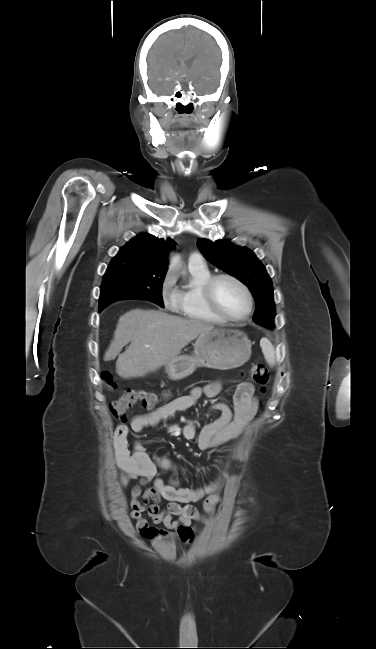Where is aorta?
I'll return each mask as SVG.
<instances>
[{"label": "aorta", "mask_w": 376, "mask_h": 649, "mask_svg": "<svg viewBox=\"0 0 376 649\" xmlns=\"http://www.w3.org/2000/svg\"><path fill=\"white\" fill-rule=\"evenodd\" d=\"M175 263V259H173V264Z\"/></svg>", "instance_id": "obj_1"}]
</instances>
